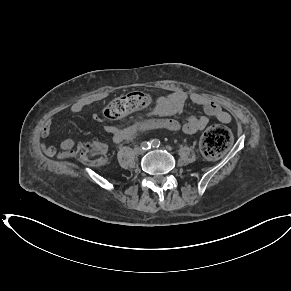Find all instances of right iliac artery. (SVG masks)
Segmentation results:
<instances>
[{
    "label": "right iliac artery",
    "mask_w": 291,
    "mask_h": 291,
    "mask_svg": "<svg viewBox=\"0 0 291 291\" xmlns=\"http://www.w3.org/2000/svg\"><path fill=\"white\" fill-rule=\"evenodd\" d=\"M141 148H142L143 150H148V149L151 148V143L148 142V141H143V142L141 143Z\"/></svg>",
    "instance_id": "obj_1"
}]
</instances>
